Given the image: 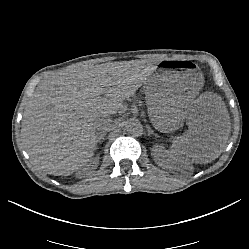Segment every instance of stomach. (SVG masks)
Here are the masks:
<instances>
[{"label": "stomach", "mask_w": 249, "mask_h": 249, "mask_svg": "<svg viewBox=\"0 0 249 249\" xmlns=\"http://www.w3.org/2000/svg\"><path fill=\"white\" fill-rule=\"evenodd\" d=\"M203 85V74L193 63L160 62L143 87L150 121L163 131L177 128Z\"/></svg>", "instance_id": "obj_1"}]
</instances>
